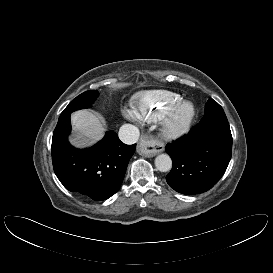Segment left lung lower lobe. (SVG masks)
I'll use <instances>...</instances> for the list:
<instances>
[{
	"mask_svg": "<svg viewBox=\"0 0 273 273\" xmlns=\"http://www.w3.org/2000/svg\"><path fill=\"white\" fill-rule=\"evenodd\" d=\"M173 161L166 177L182 194L211 189L223 176L231 159L232 135L227 118L205 119L165 148Z\"/></svg>",
	"mask_w": 273,
	"mask_h": 273,
	"instance_id": "0a47b994",
	"label": "left lung lower lobe"
}]
</instances>
